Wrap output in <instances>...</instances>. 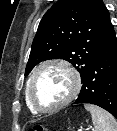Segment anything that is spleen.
Here are the masks:
<instances>
[{
  "instance_id": "1",
  "label": "spleen",
  "mask_w": 117,
  "mask_h": 131,
  "mask_svg": "<svg viewBox=\"0 0 117 131\" xmlns=\"http://www.w3.org/2000/svg\"><path fill=\"white\" fill-rule=\"evenodd\" d=\"M84 107L91 113L94 131H117V121L109 112L93 104Z\"/></svg>"
}]
</instances>
